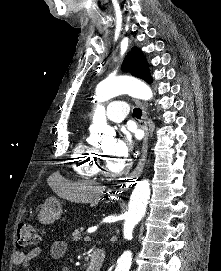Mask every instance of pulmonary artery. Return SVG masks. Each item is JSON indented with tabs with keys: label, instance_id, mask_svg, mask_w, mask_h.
<instances>
[{
	"label": "pulmonary artery",
	"instance_id": "obj_1",
	"mask_svg": "<svg viewBox=\"0 0 221 271\" xmlns=\"http://www.w3.org/2000/svg\"><path fill=\"white\" fill-rule=\"evenodd\" d=\"M107 106L108 107L104 108L105 112H109V117L106 118L107 122H126V117H123V112L128 111L127 107H121V102H108Z\"/></svg>",
	"mask_w": 221,
	"mask_h": 271
}]
</instances>
